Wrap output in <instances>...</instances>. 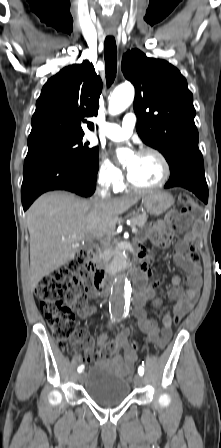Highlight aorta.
<instances>
[{
	"label": "aorta",
	"mask_w": 221,
	"mask_h": 448,
	"mask_svg": "<svg viewBox=\"0 0 221 448\" xmlns=\"http://www.w3.org/2000/svg\"><path fill=\"white\" fill-rule=\"evenodd\" d=\"M134 99V88L131 84H121L115 88L110 100H109V113L112 115L123 112L127 107L131 105ZM118 160L121 163L125 162L126 157L129 155V151L125 148H118L116 150ZM113 294L122 299L124 294V287L118 286L114 289Z\"/></svg>",
	"instance_id": "1"
}]
</instances>
